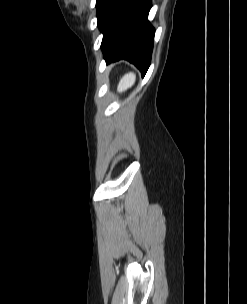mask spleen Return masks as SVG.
Here are the masks:
<instances>
[{"label":"spleen","instance_id":"spleen-1","mask_svg":"<svg viewBox=\"0 0 247 304\" xmlns=\"http://www.w3.org/2000/svg\"><path fill=\"white\" fill-rule=\"evenodd\" d=\"M135 80H136V76L133 72H129L125 74L119 81L117 91L123 92L128 88L132 87L135 83Z\"/></svg>","mask_w":247,"mask_h":304}]
</instances>
